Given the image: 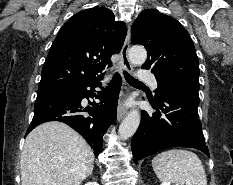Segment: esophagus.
<instances>
[{
  "mask_svg": "<svg viewBox=\"0 0 233 185\" xmlns=\"http://www.w3.org/2000/svg\"><path fill=\"white\" fill-rule=\"evenodd\" d=\"M130 46V26H128L127 36L121 50V66L124 71L131 73L133 71L132 64L128 57ZM127 114V108L121 101L117 108V120L120 121Z\"/></svg>",
  "mask_w": 233,
  "mask_h": 185,
  "instance_id": "esophagus-1",
  "label": "esophagus"
}]
</instances>
